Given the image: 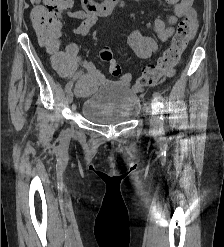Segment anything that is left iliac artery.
I'll use <instances>...</instances> for the list:
<instances>
[{
    "label": "left iliac artery",
    "mask_w": 224,
    "mask_h": 247,
    "mask_svg": "<svg viewBox=\"0 0 224 247\" xmlns=\"http://www.w3.org/2000/svg\"><path fill=\"white\" fill-rule=\"evenodd\" d=\"M154 99L158 102V105L161 109V113L164 112L163 108H164V98L162 97V95L159 93V92H154ZM159 124H160V128L159 130L161 132L164 131V116L161 115L160 118H159Z\"/></svg>",
    "instance_id": "left-iliac-artery-1"
}]
</instances>
